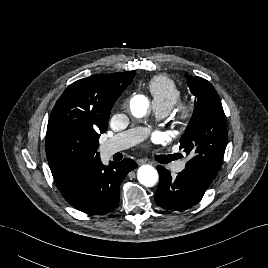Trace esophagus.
Segmentation results:
<instances>
[{
  "label": "esophagus",
  "mask_w": 268,
  "mask_h": 268,
  "mask_svg": "<svg viewBox=\"0 0 268 268\" xmlns=\"http://www.w3.org/2000/svg\"><path fill=\"white\" fill-rule=\"evenodd\" d=\"M137 163L139 165H142V164H149L150 161L148 159H138Z\"/></svg>",
  "instance_id": "34e87169"
}]
</instances>
